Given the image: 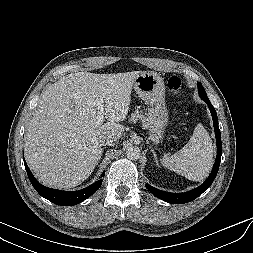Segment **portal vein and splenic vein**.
Instances as JSON below:
<instances>
[{
  "label": "portal vein and splenic vein",
  "mask_w": 253,
  "mask_h": 253,
  "mask_svg": "<svg viewBox=\"0 0 253 253\" xmlns=\"http://www.w3.org/2000/svg\"><path fill=\"white\" fill-rule=\"evenodd\" d=\"M95 103H96V105L98 106V109H99L98 114H97L96 119H95V122H96V124L100 125L104 121V108H103V105H102L103 101L101 99H99V100H96Z\"/></svg>",
  "instance_id": "obj_1"
}]
</instances>
